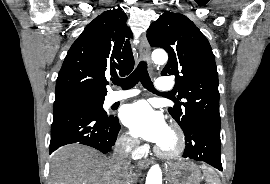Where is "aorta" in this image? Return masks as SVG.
<instances>
[{
  "label": "aorta",
  "mask_w": 270,
  "mask_h": 184,
  "mask_svg": "<svg viewBox=\"0 0 270 184\" xmlns=\"http://www.w3.org/2000/svg\"><path fill=\"white\" fill-rule=\"evenodd\" d=\"M168 56L165 51H154L152 60L155 64L166 63ZM145 184H162V171L159 165H153L147 174Z\"/></svg>",
  "instance_id": "762f6f07"
}]
</instances>
